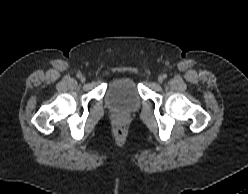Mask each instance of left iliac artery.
Masks as SVG:
<instances>
[{
  "mask_svg": "<svg viewBox=\"0 0 248 194\" xmlns=\"http://www.w3.org/2000/svg\"><path fill=\"white\" fill-rule=\"evenodd\" d=\"M162 77H163L164 79H166V78H167V75H166V74H163Z\"/></svg>",
  "mask_w": 248,
  "mask_h": 194,
  "instance_id": "obj_1",
  "label": "left iliac artery"
}]
</instances>
